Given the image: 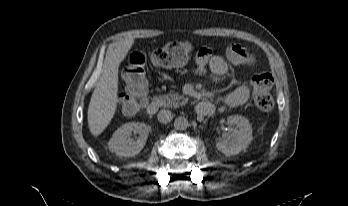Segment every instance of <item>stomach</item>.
<instances>
[{"instance_id": "obj_1", "label": "stomach", "mask_w": 348, "mask_h": 206, "mask_svg": "<svg viewBox=\"0 0 348 206\" xmlns=\"http://www.w3.org/2000/svg\"><path fill=\"white\" fill-rule=\"evenodd\" d=\"M184 47H185V50H186V51L191 50V45H190L189 43H186V44L184 45Z\"/></svg>"}]
</instances>
